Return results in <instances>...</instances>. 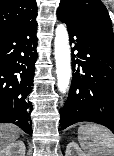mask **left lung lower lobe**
Returning a JSON list of instances; mask_svg holds the SVG:
<instances>
[{"mask_svg":"<svg viewBox=\"0 0 114 156\" xmlns=\"http://www.w3.org/2000/svg\"><path fill=\"white\" fill-rule=\"evenodd\" d=\"M57 17L67 25L72 51H78L72 54L74 73L68 98L60 109V130L92 121L114 133V39L61 7Z\"/></svg>","mask_w":114,"mask_h":156,"instance_id":"0a47b994","label":"left lung lower lobe"}]
</instances>
